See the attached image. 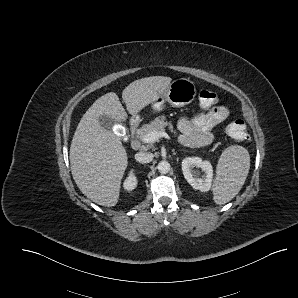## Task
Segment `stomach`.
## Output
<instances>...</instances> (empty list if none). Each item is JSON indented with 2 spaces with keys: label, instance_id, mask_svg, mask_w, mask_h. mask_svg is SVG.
<instances>
[{
  "label": "stomach",
  "instance_id": "0dacf381",
  "mask_svg": "<svg viewBox=\"0 0 298 298\" xmlns=\"http://www.w3.org/2000/svg\"><path fill=\"white\" fill-rule=\"evenodd\" d=\"M195 95L196 87L192 81L187 78L174 79L164 92L149 104V108L154 113H161L165 110L166 104L183 107L191 103Z\"/></svg>",
  "mask_w": 298,
  "mask_h": 298
}]
</instances>
